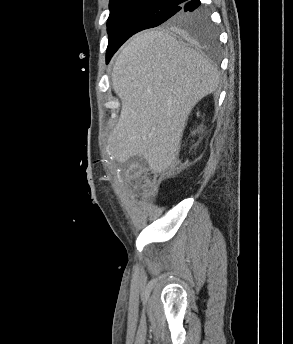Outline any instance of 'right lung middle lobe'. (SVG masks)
I'll return each mask as SVG.
<instances>
[{"label": "right lung middle lobe", "instance_id": "right-lung-middle-lobe-1", "mask_svg": "<svg viewBox=\"0 0 293 344\" xmlns=\"http://www.w3.org/2000/svg\"><path fill=\"white\" fill-rule=\"evenodd\" d=\"M107 21L109 42L106 59H110L118 48L133 34L166 24L183 37L207 48H215L217 35L207 13L181 11V6L164 2H127L109 4Z\"/></svg>", "mask_w": 293, "mask_h": 344}]
</instances>
